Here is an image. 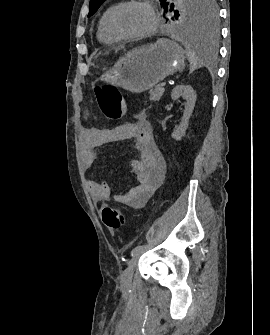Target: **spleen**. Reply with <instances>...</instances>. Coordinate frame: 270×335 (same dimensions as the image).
Returning <instances> with one entry per match:
<instances>
[{
    "label": "spleen",
    "instance_id": "3e777b00",
    "mask_svg": "<svg viewBox=\"0 0 270 335\" xmlns=\"http://www.w3.org/2000/svg\"><path fill=\"white\" fill-rule=\"evenodd\" d=\"M186 54L190 62V72H194L204 60V50L201 48L200 42H194L191 46H187Z\"/></svg>",
    "mask_w": 270,
    "mask_h": 335
}]
</instances>
